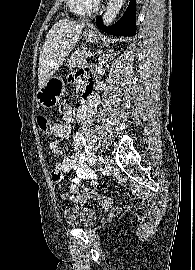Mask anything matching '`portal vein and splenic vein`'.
<instances>
[{
  "instance_id": "18ae733b",
  "label": "portal vein and splenic vein",
  "mask_w": 195,
  "mask_h": 270,
  "mask_svg": "<svg viewBox=\"0 0 195 270\" xmlns=\"http://www.w3.org/2000/svg\"><path fill=\"white\" fill-rule=\"evenodd\" d=\"M85 56L86 57H91V56H93V54L91 52H88V53L85 54Z\"/></svg>"
}]
</instances>
